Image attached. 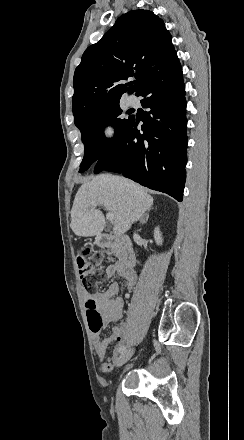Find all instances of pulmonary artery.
I'll list each match as a JSON object with an SVG mask.
<instances>
[{"mask_svg":"<svg viewBox=\"0 0 244 440\" xmlns=\"http://www.w3.org/2000/svg\"><path fill=\"white\" fill-rule=\"evenodd\" d=\"M128 102H129V104H130L131 106H137V105H138V99H137V97L134 96V95H130V96L128 97Z\"/></svg>","mask_w":244,"mask_h":440,"instance_id":"obj_1","label":"pulmonary artery"}]
</instances>
